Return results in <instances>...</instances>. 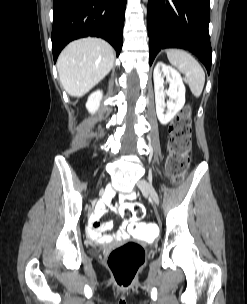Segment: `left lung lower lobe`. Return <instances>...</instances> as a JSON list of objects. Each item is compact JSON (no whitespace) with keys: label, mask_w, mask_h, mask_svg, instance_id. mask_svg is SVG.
I'll return each instance as SVG.
<instances>
[{"label":"left lung lower lobe","mask_w":247,"mask_h":304,"mask_svg":"<svg viewBox=\"0 0 247 304\" xmlns=\"http://www.w3.org/2000/svg\"><path fill=\"white\" fill-rule=\"evenodd\" d=\"M210 0H149L147 25L150 65L164 48H183L211 69Z\"/></svg>","instance_id":"0a47b994"}]
</instances>
